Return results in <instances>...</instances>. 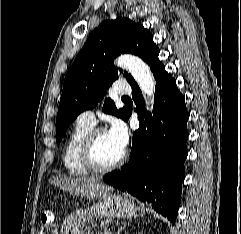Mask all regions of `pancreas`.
Instances as JSON below:
<instances>
[{
  "label": "pancreas",
  "mask_w": 241,
  "mask_h": 234,
  "mask_svg": "<svg viewBox=\"0 0 241 234\" xmlns=\"http://www.w3.org/2000/svg\"><path fill=\"white\" fill-rule=\"evenodd\" d=\"M86 234H94V232L88 231ZM101 234H103V233H101ZM104 234H108V233H104Z\"/></svg>",
  "instance_id": "pancreas-1"
}]
</instances>
